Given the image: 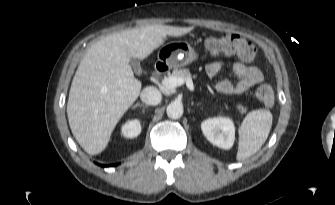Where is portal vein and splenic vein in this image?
Here are the masks:
<instances>
[{
  "label": "portal vein and splenic vein",
  "instance_id": "obj_1",
  "mask_svg": "<svg viewBox=\"0 0 335 205\" xmlns=\"http://www.w3.org/2000/svg\"><path fill=\"white\" fill-rule=\"evenodd\" d=\"M161 83L164 87L168 89H173V88H176L186 83V86L189 90L191 91L194 90V85H193L192 79L190 78L184 79L182 77H168V78H164L161 81Z\"/></svg>",
  "mask_w": 335,
  "mask_h": 205
}]
</instances>
